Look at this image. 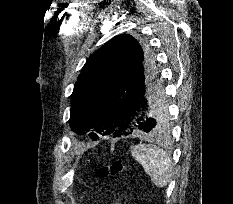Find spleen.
I'll use <instances>...</instances> for the list:
<instances>
[{
	"mask_svg": "<svg viewBox=\"0 0 233 204\" xmlns=\"http://www.w3.org/2000/svg\"><path fill=\"white\" fill-rule=\"evenodd\" d=\"M130 150L156 187L163 188L170 183L173 167L172 159L166 151L152 144H139Z\"/></svg>",
	"mask_w": 233,
	"mask_h": 204,
	"instance_id": "1",
	"label": "spleen"
}]
</instances>
